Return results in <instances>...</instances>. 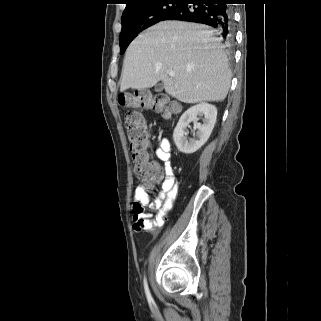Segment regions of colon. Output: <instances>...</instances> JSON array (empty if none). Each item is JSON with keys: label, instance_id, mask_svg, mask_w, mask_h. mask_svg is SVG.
Instances as JSON below:
<instances>
[{"label": "colon", "instance_id": "obj_1", "mask_svg": "<svg viewBox=\"0 0 321 321\" xmlns=\"http://www.w3.org/2000/svg\"><path fill=\"white\" fill-rule=\"evenodd\" d=\"M119 103L123 107L152 109L161 113L164 117L171 116L178 109V106L165 96L151 97L146 92L122 96ZM125 125L134 162L135 176L147 188H151L160 170L148 152V132L145 119L140 112L129 111L125 116ZM141 210L142 208L139 205L135 206L136 212Z\"/></svg>", "mask_w": 321, "mask_h": 321}]
</instances>
